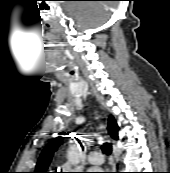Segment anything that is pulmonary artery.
Here are the masks:
<instances>
[{
    "label": "pulmonary artery",
    "instance_id": "pulmonary-artery-1",
    "mask_svg": "<svg viewBox=\"0 0 170 173\" xmlns=\"http://www.w3.org/2000/svg\"><path fill=\"white\" fill-rule=\"evenodd\" d=\"M88 161L90 164L98 166L104 162L103 155L97 150H93L88 154Z\"/></svg>",
    "mask_w": 170,
    "mask_h": 173
}]
</instances>
